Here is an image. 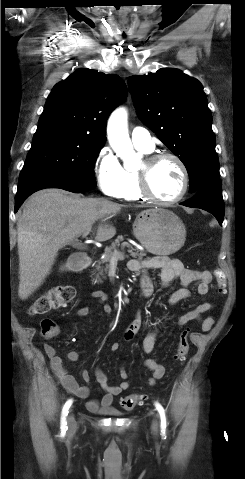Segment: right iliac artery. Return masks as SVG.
I'll return each instance as SVG.
<instances>
[{"label": "right iliac artery", "mask_w": 245, "mask_h": 479, "mask_svg": "<svg viewBox=\"0 0 245 479\" xmlns=\"http://www.w3.org/2000/svg\"><path fill=\"white\" fill-rule=\"evenodd\" d=\"M72 402H73L72 399H70L63 406L62 414H61V427H60L61 428V435H65L66 431L68 429V427L66 426L67 425L66 416L68 415V410L71 407Z\"/></svg>", "instance_id": "1"}]
</instances>
